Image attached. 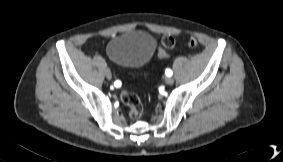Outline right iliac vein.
Segmentation results:
<instances>
[{
    "mask_svg": "<svg viewBox=\"0 0 283 162\" xmlns=\"http://www.w3.org/2000/svg\"><path fill=\"white\" fill-rule=\"evenodd\" d=\"M105 76H106V78H107L108 80H110V79L112 78V74H111V71H110L109 69H107V70L105 71Z\"/></svg>",
    "mask_w": 283,
    "mask_h": 162,
    "instance_id": "1",
    "label": "right iliac vein"
}]
</instances>
